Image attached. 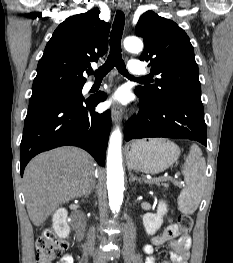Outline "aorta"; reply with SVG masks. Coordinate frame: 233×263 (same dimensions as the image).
<instances>
[{"instance_id": "762f6f07", "label": "aorta", "mask_w": 233, "mask_h": 263, "mask_svg": "<svg viewBox=\"0 0 233 263\" xmlns=\"http://www.w3.org/2000/svg\"><path fill=\"white\" fill-rule=\"evenodd\" d=\"M124 47L127 51L139 53L143 49L142 41L137 37H127L124 40ZM122 134L116 128L109 139L107 154V189L109 206L113 213L119 212L123 201L124 177L122 167Z\"/></svg>"}]
</instances>
